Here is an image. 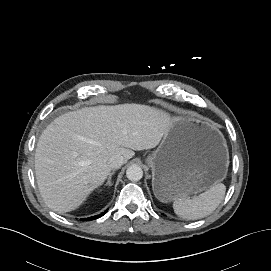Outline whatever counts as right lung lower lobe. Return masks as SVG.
I'll use <instances>...</instances> for the list:
<instances>
[{
  "label": "right lung lower lobe",
  "instance_id": "98d812e1",
  "mask_svg": "<svg viewBox=\"0 0 271 271\" xmlns=\"http://www.w3.org/2000/svg\"><path fill=\"white\" fill-rule=\"evenodd\" d=\"M106 212H107V210H106L105 212H103L102 214H100V215L93 216V217H90V218H86V219H83V220L90 221V220H94V219L100 218V217L103 216Z\"/></svg>",
  "mask_w": 271,
  "mask_h": 271
}]
</instances>
